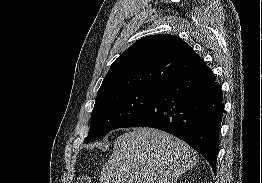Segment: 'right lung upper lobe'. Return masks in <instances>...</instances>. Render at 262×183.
<instances>
[{
  "label": "right lung upper lobe",
  "mask_w": 262,
  "mask_h": 183,
  "mask_svg": "<svg viewBox=\"0 0 262 183\" xmlns=\"http://www.w3.org/2000/svg\"><path fill=\"white\" fill-rule=\"evenodd\" d=\"M205 65L180 38L171 34L139 39L111 65L97 97L120 90H158L164 84Z\"/></svg>",
  "instance_id": "obj_1"
}]
</instances>
